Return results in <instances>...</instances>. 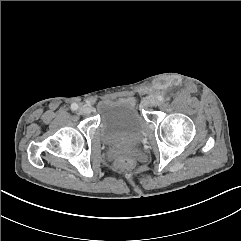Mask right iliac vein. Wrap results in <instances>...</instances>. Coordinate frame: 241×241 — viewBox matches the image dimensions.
I'll return each instance as SVG.
<instances>
[{
    "instance_id": "right-iliac-vein-1",
    "label": "right iliac vein",
    "mask_w": 241,
    "mask_h": 241,
    "mask_svg": "<svg viewBox=\"0 0 241 241\" xmlns=\"http://www.w3.org/2000/svg\"><path fill=\"white\" fill-rule=\"evenodd\" d=\"M78 111L81 114H90L91 109L89 107H86V106H81V107H79Z\"/></svg>"
}]
</instances>
